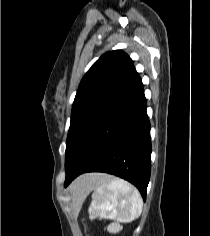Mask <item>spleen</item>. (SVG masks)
<instances>
[{
    "instance_id": "3e777b00",
    "label": "spleen",
    "mask_w": 210,
    "mask_h": 236,
    "mask_svg": "<svg viewBox=\"0 0 210 236\" xmlns=\"http://www.w3.org/2000/svg\"><path fill=\"white\" fill-rule=\"evenodd\" d=\"M91 190H94L89 207L91 219L101 217L129 223L142 213L143 201L140 193L122 179H111L103 175L100 179L85 184L81 195H86Z\"/></svg>"
}]
</instances>
